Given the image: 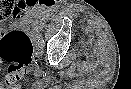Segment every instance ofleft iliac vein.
<instances>
[{"instance_id":"obj_1","label":"left iliac vein","mask_w":131,"mask_h":89,"mask_svg":"<svg viewBox=\"0 0 131 89\" xmlns=\"http://www.w3.org/2000/svg\"><path fill=\"white\" fill-rule=\"evenodd\" d=\"M38 48H40L39 50H41V46H38Z\"/></svg>"}]
</instances>
